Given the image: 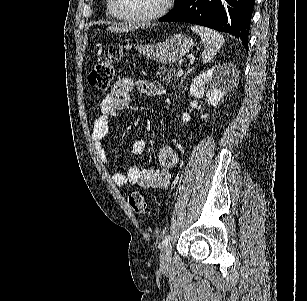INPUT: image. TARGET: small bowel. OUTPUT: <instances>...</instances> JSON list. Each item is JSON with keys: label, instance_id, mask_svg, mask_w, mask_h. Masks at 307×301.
Masks as SVG:
<instances>
[{"label": "small bowel", "instance_id": "1", "mask_svg": "<svg viewBox=\"0 0 307 301\" xmlns=\"http://www.w3.org/2000/svg\"><path fill=\"white\" fill-rule=\"evenodd\" d=\"M136 88L141 94L154 97L162 93L159 85L139 80L134 82L129 78H122L115 82L112 91L100 103V115L95 119L92 128L91 139L98 156L102 162H107V154L102 146V140L108 133L109 122L113 116L129 108L130 93ZM146 142L136 140L131 147V154L139 156L144 153ZM160 169H150L131 165L126 174L117 172L113 174V182L118 187L128 184H137L142 188L165 190L170 183V171L177 165L178 156L175 149L169 145H163L159 150Z\"/></svg>", "mask_w": 307, "mask_h": 301}]
</instances>
